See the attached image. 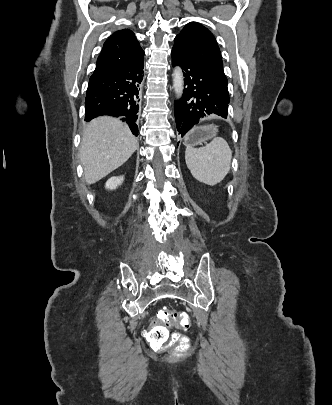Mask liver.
<instances>
[{
	"label": "liver",
	"mask_w": 332,
	"mask_h": 405,
	"mask_svg": "<svg viewBox=\"0 0 332 405\" xmlns=\"http://www.w3.org/2000/svg\"><path fill=\"white\" fill-rule=\"evenodd\" d=\"M138 142L118 118L92 120L82 135L80 161L87 184H94L123 165L137 150Z\"/></svg>",
	"instance_id": "1"
}]
</instances>
